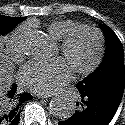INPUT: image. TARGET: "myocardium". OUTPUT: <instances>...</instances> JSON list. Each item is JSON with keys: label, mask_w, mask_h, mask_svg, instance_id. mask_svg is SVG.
I'll return each instance as SVG.
<instances>
[{"label": "myocardium", "mask_w": 125, "mask_h": 125, "mask_svg": "<svg viewBox=\"0 0 125 125\" xmlns=\"http://www.w3.org/2000/svg\"><path fill=\"white\" fill-rule=\"evenodd\" d=\"M84 32L92 33L96 40V52L93 58L84 66H75L72 68V71L78 75H88L100 65L102 62L104 52H105V39L103 33L96 27L89 25H79L73 30H71L61 41L59 44V50L62 55H67L76 39L80 34Z\"/></svg>", "instance_id": "obj_1"}]
</instances>
